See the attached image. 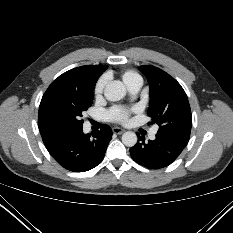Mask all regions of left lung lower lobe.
Wrapping results in <instances>:
<instances>
[{"mask_svg":"<svg viewBox=\"0 0 233 233\" xmlns=\"http://www.w3.org/2000/svg\"><path fill=\"white\" fill-rule=\"evenodd\" d=\"M138 139V143L130 149V155L135 162L149 169L170 165L188 143L187 140L160 134L153 141L145 142L140 136Z\"/></svg>","mask_w":233,"mask_h":233,"instance_id":"obj_1","label":"left lung lower lobe"}]
</instances>
